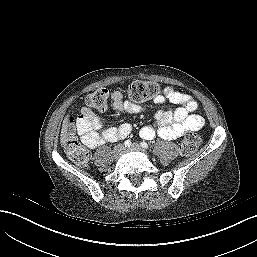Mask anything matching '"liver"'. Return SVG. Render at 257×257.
<instances>
[{"instance_id":"obj_1","label":"liver","mask_w":257,"mask_h":257,"mask_svg":"<svg viewBox=\"0 0 257 257\" xmlns=\"http://www.w3.org/2000/svg\"><path fill=\"white\" fill-rule=\"evenodd\" d=\"M68 127H69V115H67L65 118H64V121H63V124H62V129H61V137H60V142H61V145L63 147L66 146V142H67V136H68Z\"/></svg>"}]
</instances>
